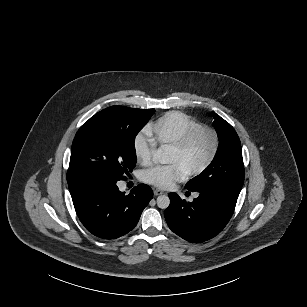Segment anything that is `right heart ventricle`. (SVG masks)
Instances as JSON below:
<instances>
[{
  "label": "right heart ventricle",
  "instance_id": "e07e8e85",
  "mask_svg": "<svg viewBox=\"0 0 307 307\" xmlns=\"http://www.w3.org/2000/svg\"><path fill=\"white\" fill-rule=\"evenodd\" d=\"M199 124L181 112H167L156 122H151L145 131L156 147L168 146L196 131Z\"/></svg>",
  "mask_w": 307,
  "mask_h": 307
}]
</instances>
